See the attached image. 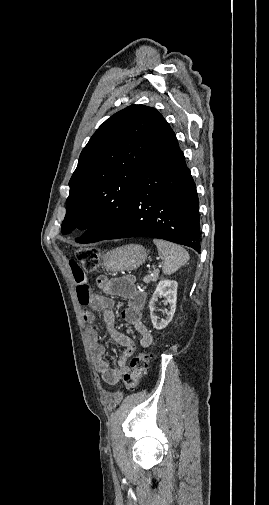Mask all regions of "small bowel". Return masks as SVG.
Segmentation results:
<instances>
[{"instance_id":"c3829d8e","label":"small bowel","mask_w":269,"mask_h":505,"mask_svg":"<svg viewBox=\"0 0 269 505\" xmlns=\"http://www.w3.org/2000/svg\"><path fill=\"white\" fill-rule=\"evenodd\" d=\"M70 269L76 282V291L83 309L85 333L90 347L96 370L102 380L107 384L114 385L125 372L128 371V360L135 351V343L132 338L115 328V315L113 312L112 296H118L128 301V306L122 312V318L131 325L140 335L142 347H149L153 342V336L142 320V311L146 302L145 291L135 282L132 276H123L116 279H108L100 276V271L95 274H85L77 260L70 262ZM88 279H97V285L107 296L93 295L90 292ZM90 306L91 309L87 307ZM93 310L101 311L103 321L111 337L122 347L117 359V366L111 367L104 359L105 346L99 341L98 333L94 328L95 316Z\"/></svg>"}]
</instances>
